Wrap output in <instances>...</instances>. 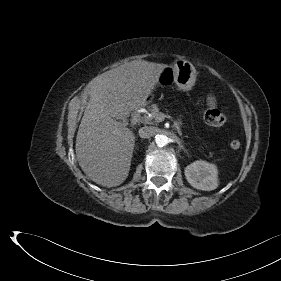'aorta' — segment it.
<instances>
[{
    "label": "aorta",
    "mask_w": 281,
    "mask_h": 281,
    "mask_svg": "<svg viewBox=\"0 0 281 281\" xmlns=\"http://www.w3.org/2000/svg\"><path fill=\"white\" fill-rule=\"evenodd\" d=\"M155 142L158 147H163L169 143V138L164 134H158L155 137Z\"/></svg>",
    "instance_id": "762f6f07"
}]
</instances>
